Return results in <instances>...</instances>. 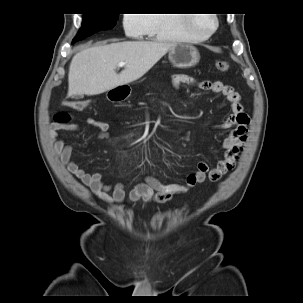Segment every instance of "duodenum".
<instances>
[{
    "label": "duodenum",
    "instance_id": "1",
    "mask_svg": "<svg viewBox=\"0 0 303 303\" xmlns=\"http://www.w3.org/2000/svg\"><path fill=\"white\" fill-rule=\"evenodd\" d=\"M126 97V92L123 89H116L112 92V98L116 101L123 100Z\"/></svg>",
    "mask_w": 303,
    "mask_h": 303
}]
</instances>
